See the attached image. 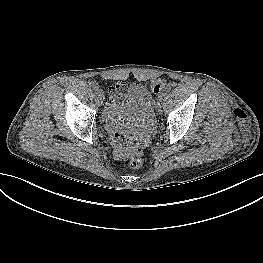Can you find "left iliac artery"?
<instances>
[{"label":"left iliac artery","instance_id":"obj_1","mask_svg":"<svg viewBox=\"0 0 263 263\" xmlns=\"http://www.w3.org/2000/svg\"><path fill=\"white\" fill-rule=\"evenodd\" d=\"M159 96L160 97H165V92L164 91H159Z\"/></svg>","mask_w":263,"mask_h":263}]
</instances>
